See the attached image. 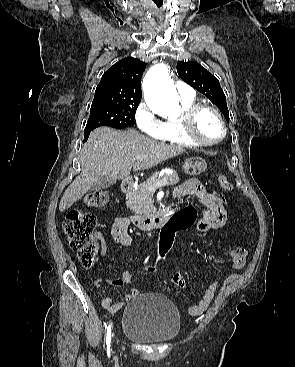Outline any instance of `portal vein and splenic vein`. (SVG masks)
Wrapping results in <instances>:
<instances>
[{"instance_id": "portal-vein-and-splenic-vein-1", "label": "portal vein and splenic vein", "mask_w": 295, "mask_h": 367, "mask_svg": "<svg viewBox=\"0 0 295 367\" xmlns=\"http://www.w3.org/2000/svg\"><path fill=\"white\" fill-rule=\"evenodd\" d=\"M168 181L166 179L159 180L149 187V190L154 192L157 188L167 185Z\"/></svg>"}]
</instances>
